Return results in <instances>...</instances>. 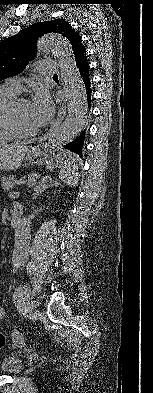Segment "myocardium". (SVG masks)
I'll use <instances>...</instances> for the list:
<instances>
[{
	"mask_svg": "<svg viewBox=\"0 0 153 393\" xmlns=\"http://www.w3.org/2000/svg\"><path fill=\"white\" fill-rule=\"evenodd\" d=\"M26 102H27V99H25V98H18V99L13 100L11 102V104L9 105L8 111L6 114L7 126L10 129L12 135L17 138L27 137V136L33 135L36 132L35 129L29 130V131L22 130L20 127V124L18 122L17 109L21 104L26 103Z\"/></svg>",
	"mask_w": 153,
	"mask_h": 393,
	"instance_id": "myocardium-1",
	"label": "myocardium"
}]
</instances>
